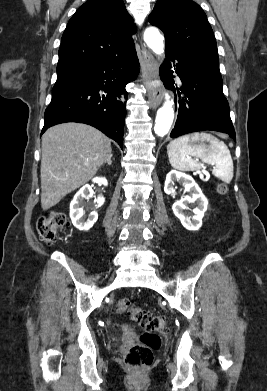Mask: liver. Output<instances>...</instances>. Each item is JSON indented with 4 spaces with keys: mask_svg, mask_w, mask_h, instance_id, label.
<instances>
[{
    "mask_svg": "<svg viewBox=\"0 0 267 391\" xmlns=\"http://www.w3.org/2000/svg\"><path fill=\"white\" fill-rule=\"evenodd\" d=\"M111 152L109 138L91 126L64 123L48 129L42 136V209L55 206L92 179Z\"/></svg>",
    "mask_w": 267,
    "mask_h": 391,
    "instance_id": "liver-1",
    "label": "liver"
}]
</instances>
